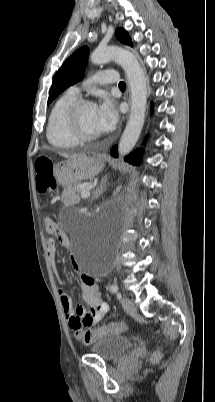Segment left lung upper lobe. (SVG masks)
<instances>
[{"instance_id": "1", "label": "left lung upper lobe", "mask_w": 215, "mask_h": 402, "mask_svg": "<svg viewBox=\"0 0 215 402\" xmlns=\"http://www.w3.org/2000/svg\"><path fill=\"white\" fill-rule=\"evenodd\" d=\"M116 36L120 42L132 46L129 34L122 28H117ZM89 55L88 47L84 46L77 50L67 59L56 73L49 93L48 104L51 103L62 91L69 86L79 82L85 72Z\"/></svg>"}]
</instances>
